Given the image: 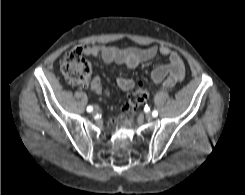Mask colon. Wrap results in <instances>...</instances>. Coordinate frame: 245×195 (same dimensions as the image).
I'll list each match as a JSON object with an SVG mask.
<instances>
[{
	"label": "colon",
	"instance_id": "colon-1",
	"mask_svg": "<svg viewBox=\"0 0 245 195\" xmlns=\"http://www.w3.org/2000/svg\"><path fill=\"white\" fill-rule=\"evenodd\" d=\"M61 71L69 83L87 84L91 75V65L85 57L84 48L76 47L70 50L64 56ZM148 95V89L142 83H138L136 88L131 91L128 102L123 106V111L128 112L137 108L146 101Z\"/></svg>",
	"mask_w": 245,
	"mask_h": 195
}]
</instances>
